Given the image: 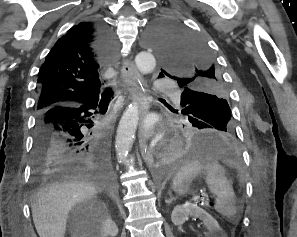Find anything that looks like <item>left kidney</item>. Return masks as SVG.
Here are the masks:
<instances>
[{"label": "left kidney", "mask_w": 297, "mask_h": 237, "mask_svg": "<svg viewBox=\"0 0 297 237\" xmlns=\"http://www.w3.org/2000/svg\"><path fill=\"white\" fill-rule=\"evenodd\" d=\"M189 216L203 221L204 226L208 230L205 233L206 237H224L223 230L218 222L208 212L193 203L176 206L172 211L171 220L174 225L182 226Z\"/></svg>", "instance_id": "5707ae66"}]
</instances>
